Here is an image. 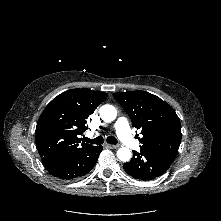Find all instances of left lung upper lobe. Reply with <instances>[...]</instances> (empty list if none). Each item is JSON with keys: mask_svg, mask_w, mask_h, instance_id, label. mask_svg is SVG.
Listing matches in <instances>:
<instances>
[{"mask_svg": "<svg viewBox=\"0 0 221 221\" xmlns=\"http://www.w3.org/2000/svg\"><path fill=\"white\" fill-rule=\"evenodd\" d=\"M113 95L131 118L133 127L141 131L140 149L176 157L181 141V124L170 105L140 90Z\"/></svg>", "mask_w": 221, "mask_h": 221, "instance_id": "5c2ea615", "label": "left lung upper lobe"}]
</instances>
